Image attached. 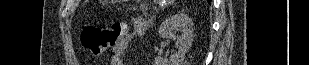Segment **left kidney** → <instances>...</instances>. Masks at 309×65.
<instances>
[{"mask_svg":"<svg viewBox=\"0 0 309 65\" xmlns=\"http://www.w3.org/2000/svg\"><path fill=\"white\" fill-rule=\"evenodd\" d=\"M193 25L191 17L184 13L172 15L162 22L158 29L159 36L173 39L178 45V52L169 60L156 57L155 65H183L185 54L191 48L194 39ZM175 31H180L181 35L176 36Z\"/></svg>","mask_w":309,"mask_h":65,"instance_id":"obj_1","label":"left kidney"}]
</instances>
